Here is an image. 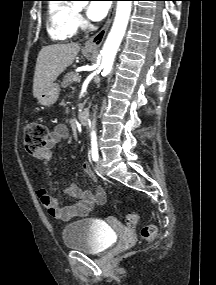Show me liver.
<instances>
[{
    "instance_id": "6515ba94",
    "label": "liver",
    "mask_w": 216,
    "mask_h": 285,
    "mask_svg": "<svg viewBox=\"0 0 216 285\" xmlns=\"http://www.w3.org/2000/svg\"><path fill=\"white\" fill-rule=\"evenodd\" d=\"M79 43L53 44L43 47L37 57L33 80V96L37 98L74 62Z\"/></svg>"
}]
</instances>
